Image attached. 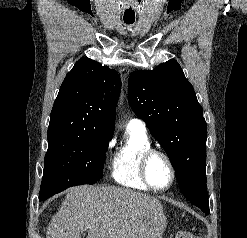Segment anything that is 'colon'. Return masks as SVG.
<instances>
[{
	"label": "colon",
	"instance_id": "colon-1",
	"mask_svg": "<svg viewBox=\"0 0 247 238\" xmlns=\"http://www.w3.org/2000/svg\"><path fill=\"white\" fill-rule=\"evenodd\" d=\"M176 238H199L187 231H180L177 233Z\"/></svg>",
	"mask_w": 247,
	"mask_h": 238
}]
</instances>
